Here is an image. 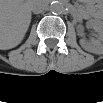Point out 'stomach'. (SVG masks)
<instances>
[{"instance_id": "1", "label": "stomach", "mask_w": 103, "mask_h": 103, "mask_svg": "<svg viewBox=\"0 0 103 103\" xmlns=\"http://www.w3.org/2000/svg\"><path fill=\"white\" fill-rule=\"evenodd\" d=\"M85 3H86L88 6L91 5V2H89V1H85Z\"/></svg>"}]
</instances>
